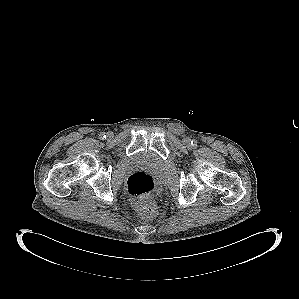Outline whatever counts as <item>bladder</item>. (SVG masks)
<instances>
[{
    "mask_svg": "<svg viewBox=\"0 0 299 299\" xmlns=\"http://www.w3.org/2000/svg\"><path fill=\"white\" fill-rule=\"evenodd\" d=\"M132 164L157 165L160 161L153 153L149 151H140L131 157Z\"/></svg>",
    "mask_w": 299,
    "mask_h": 299,
    "instance_id": "bladder-1",
    "label": "bladder"
}]
</instances>
